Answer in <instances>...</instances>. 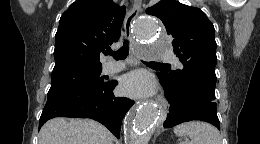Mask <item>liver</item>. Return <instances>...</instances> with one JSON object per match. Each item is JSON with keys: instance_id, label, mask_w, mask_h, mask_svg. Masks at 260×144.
<instances>
[{"instance_id": "6515ba94", "label": "liver", "mask_w": 260, "mask_h": 144, "mask_svg": "<svg viewBox=\"0 0 260 144\" xmlns=\"http://www.w3.org/2000/svg\"><path fill=\"white\" fill-rule=\"evenodd\" d=\"M113 135L90 119L54 118L39 132V144H113Z\"/></svg>"}]
</instances>
